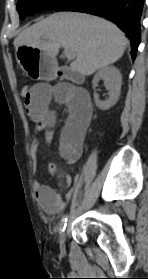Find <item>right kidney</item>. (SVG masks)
I'll return each instance as SVG.
<instances>
[{
    "mask_svg": "<svg viewBox=\"0 0 148 279\" xmlns=\"http://www.w3.org/2000/svg\"><path fill=\"white\" fill-rule=\"evenodd\" d=\"M104 80L106 89L109 91V99L101 101L96 93V86L100 80ZM94 89V100L96 106L101 110H108L116 104L120 96L122 76L120 71L114 66L104 67L99 70L92 81Z\"/></svg>",
    "mask_w": 148,
    "mask_h": 279,
    "instance_id": "right-kidney-1",
    "label": "right kidney"
}]
</instances>
